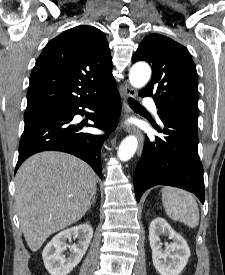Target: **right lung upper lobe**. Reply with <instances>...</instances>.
I'll list each match as a JSON object with an SVG mask.
<instances>
[{"instance_id": "right-lung-upper-lobe-1", "label": "right lung upper lobe", "mask_w": 225, "mask_h": 275, "mask_svg": "<svg viewBox=\"0 0 225 275\" xmlns=\"http://www.w3.org/2000/svg\"><path fill=\"white\" fill-rule=\"evenodd\" d=\"M108 42L92 26L71 28L51 40L30 76L25 114L88 102L115 87Z\"/></svg>"}]
</instances>
